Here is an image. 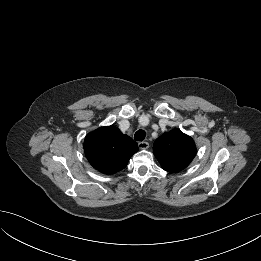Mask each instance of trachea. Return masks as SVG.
Returning a JSON list of instances; mask_svg holds the SVG:
<instances>
[{
	"label": "trachea",
	"mask_w": 261,
	"mask_h": 261,
	"mask_svg": "<svg viewBox=\"0 0 261 261\" xmlns=\"http://www.w3.org/2000/svg\"><path fill=\"white\" fill-rule=\"evenodd\" d=\"M146 133L144 130L140 129L138 130L135 135H134V139L136 141H143L145 139Z\"/></svg>",
	"instance_id": "obj_1"
}]
</instances>
